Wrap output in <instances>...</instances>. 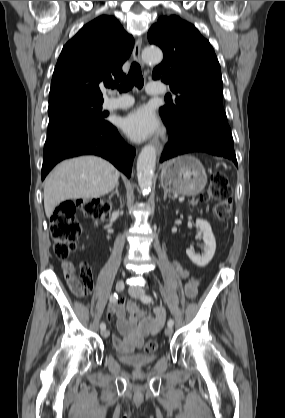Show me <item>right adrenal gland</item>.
<instances>
[{
	"label": "right adrenal gland",
	"mask_w": 285,
	"mask_h": 418,
	"mask_svg": "<svg viewBox=\"0 0 285 418\" xmlns=\"http://www.w3.org/2000/svg\"><path fill=\"white\" fill-rule=\"evenodd\" d=\"M118 186L119 184L116 185L115 190L111 192L110 194V199L116 194L119 197V192H118Z\"/></svg>",
	"instance_id": "obj_1"
}]
</instances>
